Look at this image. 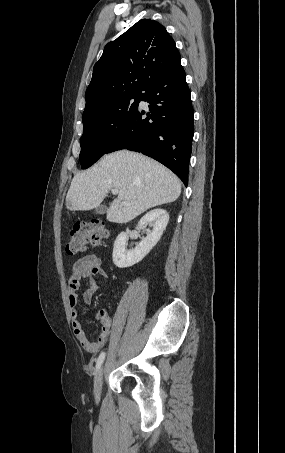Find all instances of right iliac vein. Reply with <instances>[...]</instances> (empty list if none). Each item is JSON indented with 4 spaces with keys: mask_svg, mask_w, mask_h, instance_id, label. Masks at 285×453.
Masks as SVG:
<instances>
[{
    "mask_svg": "<svg viewBox=\"0 0 285 453\" xmlns=\"http://www.w3.org/2000/svg\"><path fill=\"white\" fill-rule=\"evenodd\" d=\"M104 368L100 367L94 381V398L96 402L100 400L101 386L103 381Z\"/></svg>",
    "mask_w": 285,
    "mask_h": 453,
    "instance_id": "right-iliac-vein-1",
    "label": "right iliac vein"
}]
</instances>
